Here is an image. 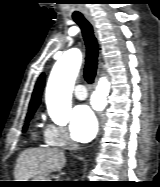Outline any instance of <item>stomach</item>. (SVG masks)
<instances>
[{
  "label": "stomach",
  "instance_id": "1",
  "mask_svg": "<svg viewBox=\"0 0 160 187\" xmlns=\"http://www.w3.org/2000/svg\"><path fill=\"white\" fill-rule=\"evenodd\" d=\"M28 181H52L49 180V178L44 175V176H39L36 178H33L32 180H28ZM24 186H28V187H47V186H51L50 182H30L25 184Z\"/></svg>",
  "mask_w": 160,
  "mask_h": 187
}]
</instances>
